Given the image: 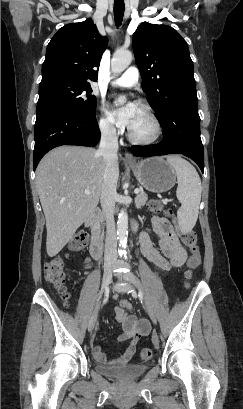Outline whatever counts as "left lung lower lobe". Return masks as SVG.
<instances>
[{"label":"left lung lower lobe","mask_w":243,"mask_h":409,"mask_svg":"<svg viewBox=\"0 0 243 409\" xmlns=\"http://www.w3.org/2000/svg\"><path fill=\"white\" fill-rule=\"evenodd\" d=\"M159 123L165 134L163 140L154 145L133 146L132 153L138 157L183 154L195 161L203 172L204 156L197 100L179 105Z\"/></svg>","instance_id":"0a47b994"}]
</instances>
